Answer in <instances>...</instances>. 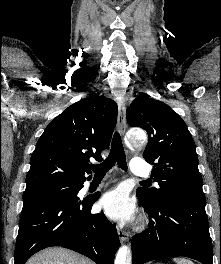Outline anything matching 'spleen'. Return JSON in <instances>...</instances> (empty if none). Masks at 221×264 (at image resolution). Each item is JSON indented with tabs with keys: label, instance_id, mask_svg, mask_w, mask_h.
<instances>
[{
	"label": "spleen",
	"instance_id": "obj_1",
	"mask_svg": "<svg viewBox=\"0 0 221 264\" xmlns=\"http://www.w3.org/2000/svg\"><path fill=\"white\" fill-rule=\"evenodd\" d=\"M174 262H176L177 264H194L191 260L186 259V258H174L173 259Z\"/></svg>",
	"mask_w": 221,
	"mask_h": 264
}]
</instances>
